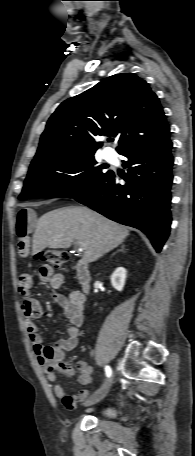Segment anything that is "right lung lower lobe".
I'll return each mask as SVG.
<instances>
[{
	"label": "right lung lower lobe",
	"instance_id": "98d812e1",
	"mask_svg": "<svg viewBox=\"0 0 195 456\" xmlns=\"http://www.w3.org/2000/svg\"><path fill=\"white\" fill-rule=\"evenodd\" d=\"M170 138L153 144L126 148L121 155L128 158L118 183L113 172L93 189L75 198L107 218L140 229L160 252L170 232V188L173 180Z\"/></svg>",
	"mask_w": 195,
	"mask_h": 456
}]
</instances>
